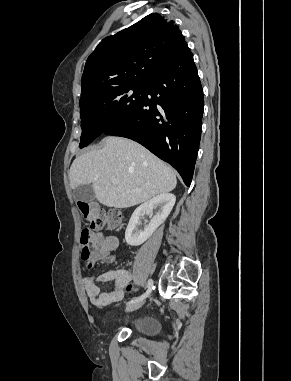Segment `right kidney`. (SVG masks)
Segmentation results:
<instances>
[{
    "label": "right kidney",
    "instance_id": "right-kidney-1",
    "mask_svg": "<svg viewBox=\"0 0 291 381\" xmlns=\"http://www.w3.org/2000/svg\"><path fill=\"white\" fill-rule=\"evenodd\" d=\"M176 201L175 195L164 193L157 195L149 201L141 204L133 212L125 231V240L131 246H139L144 243L155 230L166 220ZM159 207L150 223L139 229L140 218L144 214H152L153 209Z\"/></svg>",
    "mask_w": 291,
    "mask_h": 381
}]
</instances>
